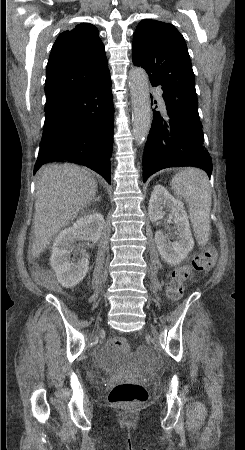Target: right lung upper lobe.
I'll return each mask as SVG.
<instances>
[{"label":"right lung upper lobe","mask_w":245,"mask_h":450,"mask_svg":"<svg viewBox=\"0 0 245 450\" xmlns=\"http://www.w3.org/2000/svg\"><path fill=\"white\" fill-rule=\"evenodd\" d=\"M99 31L89 23L59 35L47 64L45 109L48 110L109 72Z\"/></svg>","instance_id":"right-lung-upper-lobe-1"}]
</instances>
